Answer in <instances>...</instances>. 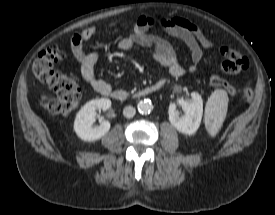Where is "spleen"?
Returning <instances> with one entry per match:
<instances>
[{
    "label": "spleen",
    "mask_w": 275,
    "mask_h": 215,
    "mask_svg": "<svg viewBox=\"0 0 275 215\" xmlns=\"http://www.w3.org/2000/svg\"><path fill=\"white\" fill-rule=\"evenodd\" d=\"M228 96L226 91L218 89L208 99L205 110V123L211 136L216 135L227 112Z\"/></svg>",
    "instance_id": "3e777b00"
}]
</instances>
